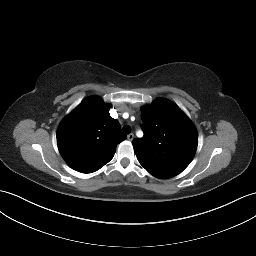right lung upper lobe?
Listing matches in <instances>:
<instances>
[{
  "mask_svg": "<svg viewBox=\"0 0 256 256\" xmlns=\"http://www.w3.org/2000/svg\"><path fill=\"white\" fill-rule=\"evenodd\" d=\"M111 105L89 97L60 123L59 152L67 164L81 173H92L108 163L116 146L126 139L119 122L109 114Z\"/></svg>",
  "mask_w": 256,
  "mask_h": 256,
  "instance_id": "1",
  "label": "right lung upper lobe"
}]
</instances>
